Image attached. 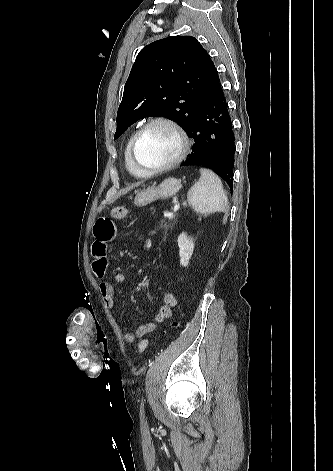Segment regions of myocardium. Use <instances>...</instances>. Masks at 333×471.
Segmentation results:
<instances>
[{"label":"myocardium","instance_id":"f54148a6","mask_svg":"<svg viewBox=\"0 0 333 471\" xmlns=\"http://www.w3.org/2000/svg\"><path fill=\"white\" fill-rule=\"evenodd\" d=\"M156 124H162V125L168 126L169 128H171L175 132V134L177 135L178 140H179V152H178L177 156L174 159H172L171 161H169L168 163H165L163 165L156 166V167H145V166L141 165L140 162L137 159L138 144H139L142 136L144 135V133L150 127H152L153 125H156ZM189 147H190V140H189L188 135L186 134L185 130L176 121H174L170 118H167V117L159 116V117H154V118L148 120L146 123H144L135 132V134L132 138V141H131V145H130V158H131V161H132L134 167L139 172H141V174H143L145 176H149V175H154V174H157V173H161V172L170 170V169L174 168L175 166H177L178 164H180L184 160V158L186 157V155L188 153V150H189Z\"/></svg>","mask_w":333,"mask_h":471}]
</instances>
